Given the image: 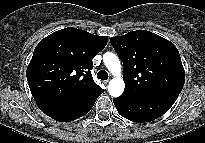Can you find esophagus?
<instances>
[{"label":"esophagus","mask_w":205,"mask_h":143,"mask_svg":"<svg viewBox=\"0 0 205 143\" xmlns=\"http://www.w3.org/2000/svg\"><path fill=\"white\" fill-rule=\"evenodd\" d=\"M103 83H104L105 85H107V84L109 83V80H105V81H103Z\"/></svg>","instance_id":"obj_1"}]
</instances>
